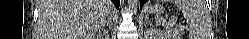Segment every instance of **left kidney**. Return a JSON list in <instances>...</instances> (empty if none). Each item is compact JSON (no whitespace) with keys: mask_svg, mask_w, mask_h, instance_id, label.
<instances>
[{"mask_svg":"<svg viewBox=\"0 0 249 39\" xmlns=\"http://www.w3.org/2000/svg\"><path fill=\"white\" fill-rule=\"evenodd\" d=\"M168 38H169L168 35L164 32L156 31L154 33V39H168Z\"/></svg>","mask_w":249,"mask_h":39,"instance_id":"left-kidney-1","label":"left kidney"}]
</instances>
